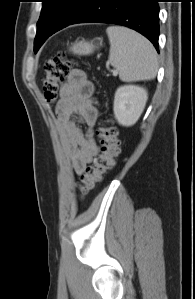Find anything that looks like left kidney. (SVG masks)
<instances>
[{
    "label": "left kidney",
    "instance_id": "obj_1",
    "mask_svg": "<svg viewBox=\"0 0 195 299\" xmlns=\"http://www.w3.org/2000/svg\"><path fill=\"white\" fill-rule=\"evenodd\" d=\"M148 98L147 91L137 85L120 86L115 93L114 115L122 126L134 125L141 116Z\"/></svg>",
    "mask_w": 195,
    "mask_h": 299
}]
</instances>
